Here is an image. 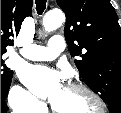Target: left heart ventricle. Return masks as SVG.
Returning a JSON list of instances; mask_svg holds the SVG:
<instances>
[{
  "label": "left heart ventricle",
  "instance_id": "obj_1",
  "mask_svg": "<svg viewBox=\"0 0 121 113\" xmlns=\"http://www.w3.org/2000/svg\"><path fill=\"white\" fill-rule=\"evenodd\" d=\"M53 105L59 112H86L98 110L97 105L85 94L63 87Z\"/></svg>",
  "mask_w": 121,
  "mask_h": 113
}]
</instances>
